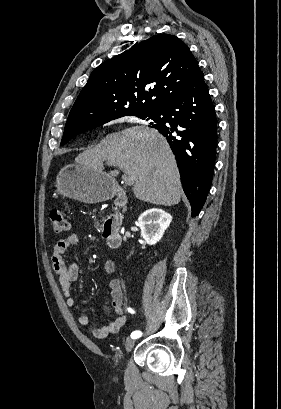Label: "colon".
<instances>
[{
  "mask_svg": "<svg viewBox=\"0 0 281 409\" xmlns=\"http://www.w3.org/2000/svg\"><path fill=\"white\" fill-rule=\"evenodd\" d=\"M50 220L56 234H66L70 228L69 218L60 210L53 209L50 212Z\"/></svg>",
  "mask_w": 281,
  "mask_h": 409,
  "instance_id": "5ec220e1",
  "label": "colon"
}]
</instances>
